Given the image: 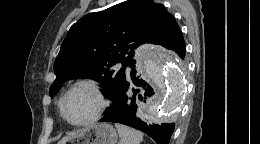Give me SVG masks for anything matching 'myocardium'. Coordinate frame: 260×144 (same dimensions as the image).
<instances>
[{"instance_id":"obj_1","label":"myocardium","mask_w":260,"mask_h":144,"mask_svg":"<svg viewBox=\"0 0 260 144\" xmlns=\"http://www.w3.org/2000/svg\"><path fill=\"white\" fill-rule=\"evenodd\" d=\"M81 87H86L88 89H90L92 91V93L95 95L96 99H97V108L95 110V112L93 113V115L82 121V122H72L70 121L66 115H65V111H64V105L65 102L67 100V98L69 97V95L74 92L76 89L81 88ZM59 108H60V114L62 116V118L70 125L72 126H76V127H81V126H86L89 125L91 123H94L95 121H97L100 116L102 115L103 111L106 108V100L104 97V94L100 88V86L92 80H80L76 83H74L66 92L65 94L62 96L60 103H59Z\"/></svg>"}]
</instances>
